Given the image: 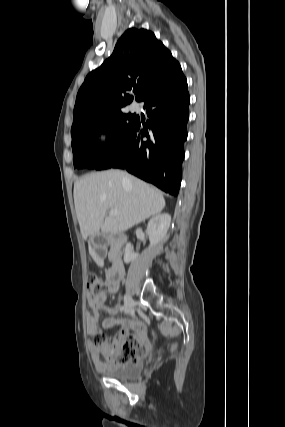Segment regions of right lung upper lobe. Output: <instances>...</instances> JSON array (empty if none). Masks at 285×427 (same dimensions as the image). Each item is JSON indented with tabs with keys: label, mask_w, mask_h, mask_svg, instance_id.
Returning a JSON list of instances; mask_svg holds the SVG:
<instances>
[{
	"label": "right lung upper lobe",
	"mask_w": 285,
	"mask_h": 427,
	"mask_svg": "<svg viewBox=\"0 0 285 427\" xmlns=\"http://www.w3.org/2000/svg\"><path fill=\"white\" fill-rule=\"evenodd\" d=\"M179 67L152 32L128 29L112 55L87 75L79 89L71 131L121 110L133 100L125 93L132 87L137 88L135 99L139 101L149 87Z\"/></svg>",
	"instance_id": "right-lung-upper-lobe-1"
}]
</instances>
